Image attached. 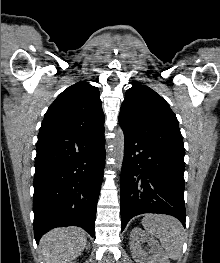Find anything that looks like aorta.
I'll list each match as a JSON object with an SVG mask.
<instances>
[{
  "instance_id": "762f6f07",
  "label": "aorta",
  "mask_w": 220,
  "mask_h": 263,
  "mask_svg": "<svg viewBox=\"0 0 220 263\" xmlns=\"http://www.w3.org/2000/svg\"><path fill=\"white\" fill-rule=\"evenodd\" d=\"M114 157L116 159V167L121 170L124 158V133L118 129L114 138Z\"/></svg>"
}]
</instances>
